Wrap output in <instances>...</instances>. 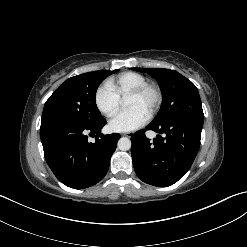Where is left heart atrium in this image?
Instances as JSON below:
<instances>
[{"label": "left heart atrium", "instance_id": "1", "mask_svg": "<svg viewBox=\"0 0 247 247\" xmlns=\"http://www.w3.org/2000/svg\"><path fill=\"white\" fill-rule=\"evenodd\" d=\"M148 113L139 107H130L119 112L109 122V127L115 132L133 131L146 123Z\"/></svg>", "mask_w": 247, "mask_h": 247}]
</instances>
